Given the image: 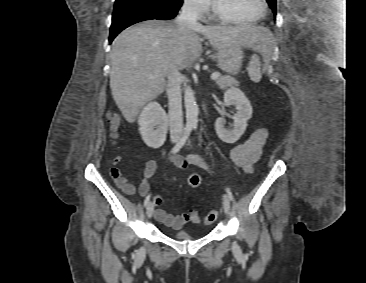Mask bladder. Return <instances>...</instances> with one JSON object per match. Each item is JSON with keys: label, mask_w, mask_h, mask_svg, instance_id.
Listing matches in <instances>:
<instances>
[{"label": "bladder", "mask_w": 366, "mask_h": 283, "mask_svg": "<svg viewBox=\"0 0 366 283\" xmlns=\"http://www.w3.org/2000/svg\"><path fill=\"white\" fill-rule=\"evenodd\" d=\"M172 237L178 240H190L196 238V236L191 235L185 231H180L172 234Z\"/></svg>", "instance_id": "31cf9c89"}]
</instances>
